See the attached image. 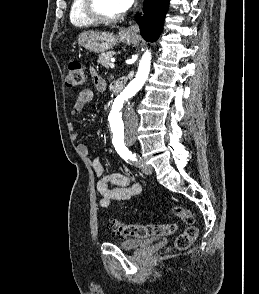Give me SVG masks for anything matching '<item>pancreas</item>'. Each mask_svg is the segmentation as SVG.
Masks as SVG:
<instances>
[{
	"label": "pancreas",
	"instance_id": "1",
	"mask_svg": "<svg viewBox=\"0 0 259 294\" xmlns=\"http://www.w3.org/2000/svg\"><path fill=\"white\" fill-rule=\"evenodd\" d=\"M115 55L113 51H109L107 53H101L97 62L104 66L105 68L109 67L110 59Z\"/></svg>",
	"mask_w": 259,
	"mask_h": 294
}]
</instances>
